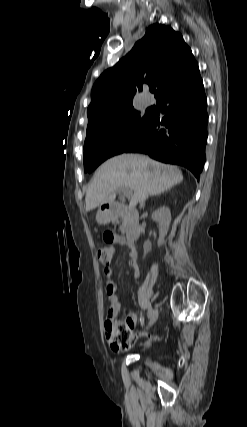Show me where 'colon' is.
<instances>
[{
  "mask_svg": "<svg viewBox=\"0 0 247 427\" xmlns=\"http://www.w3.org/2000/svg\"><path fill=\"white\" fill-rule=\"evenodd\" d=\"M114 256V248L103 246L97 252L98 260L103 265H108ZM106 335L111 347L116 351L127 350L134 342L132 328L124 322H116L113 318L108 317L105 322Z\"/></svg>",
  "mask_w": 247,
  "mask_h": 427,
  "instance_id": "colon-1",
  "label": "colon"
}]
</instances>
